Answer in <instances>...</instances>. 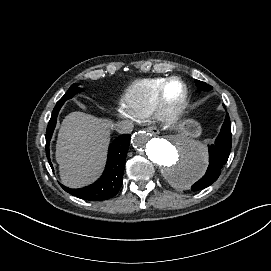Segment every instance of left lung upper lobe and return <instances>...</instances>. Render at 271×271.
Returning <instances> with one entry per match:
<instances>
[{
	"label": "left lung upper lobe",
	"instance_id": "5c2ea615",
	"mask_svg": "<svg viewBox=\"0 0 271 271\" xmlns=\"http://www.w3.org/2000/svg\"><path fill=\"white\" fill-rule=\"evenodd\" d=\"M195 83H196V86L201 91H210V90H212V86H210L209 84H207L205 82L195 80Z\"/></svg>",
	"mask_w": 271,
	"mask_h": 271
}]
</instances>
